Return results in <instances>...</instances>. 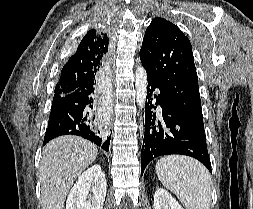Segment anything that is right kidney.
Listing matches in <instances>:
<instances>
[{
	"mask_svg": "<svg viewBox=\"0 0 253 209\" xmlns=\"http://www.w3.org/2000/svg\"><path fill=\"white\" fill-rule=\"evenodd\" d=\"M106 186L105 174L100 165L88 168L72 187L66 209H103Z\"/></svg>",
	"mask_w": 253,
	"mask_h": 209,
	"instance_id": "right-kidney-1",
	"label": "right kidney"
}]
</instances>
